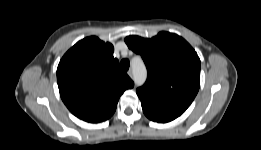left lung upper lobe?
<instances>
[{
	"mask_svg": "<svg viewBox=\"0 0 261 150\" xmlns=\"http://www.w3.org/2000/svg\"><path fill=\"white\" fill-rule=\"evenodd\" d=\"M125 42L140 54L148 77L137 89L142 104L180 116L200 87V59L180 36L160 32L151 39L128 36Z\"/></svg>",
	"mask_w": 261,
	"mask_h": 150,
	"instance_id": "obj_1",
	"label": "left lung upper lobe"
}]
</instances>
